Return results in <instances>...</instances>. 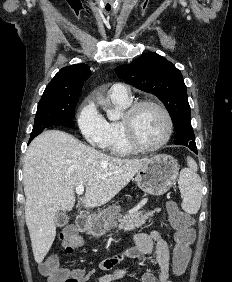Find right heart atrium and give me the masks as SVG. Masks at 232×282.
Segmentation results:
<instances>
[{"label":"right heart atrium","mask_w":232,"mask_h":282,"mask_svg":"<svg viewBox=\"0 0 232 282\" xmlns=\"http://www.w3.org/2000/svg\"><path fill=\"white\" fill-rule=\"evenodd\" d=\"M77 125L84 139L92 146L105 148L108 123L91 100H85L77 115Z\"/></svg>","instance_id":"right-heart-atrium-1"}]
</instances>
